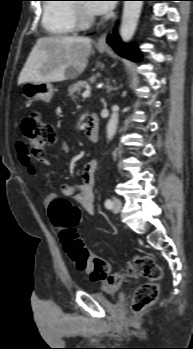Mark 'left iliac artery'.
<instances>
[{"label":"left iliac artery","instance_id":"obj_1","mask_svg":"<svg viewBox=\"0 0 193 349\" xmlns=\"http://www.w3.org/2000/svg\"><path fill=\"white\" fill-rule=\"evenodd\" d=\"M105 207H106L107 209H111V208L113 207V203H112V201H111L110 199H106V201H105Z\"/></svg>","mask_w":193,"mask_h":349}]
</instances>
